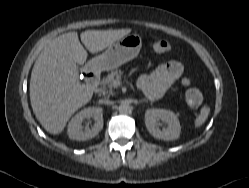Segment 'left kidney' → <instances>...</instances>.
<instances>
[{
	"label": "left kidney",
	"mask_w": 249,
	"mask_h": 188,
	"mask_svg": "<svg viewBox=\"0 0 249 188\" xmlns=\"http://www.w3.org/2000/svg\"><path fill=\"white\" fill-rule=\"evenodd\" d=\"M158 121H163L168 128L160 130ZM145 125L149 133L161 140H175L180 135L181 126L177 115L165 109H147L145 112Z\"/></svg>",
	"instance_id": "obj_1"
}]
</instances>
